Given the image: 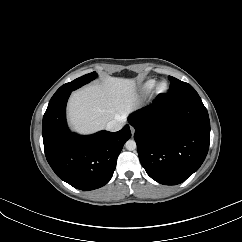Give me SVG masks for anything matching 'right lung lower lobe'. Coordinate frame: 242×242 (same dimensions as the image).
<instances>
[{"instance_id": "98d812e1", "label": "right lung lower lobe", "mask_w": 242, "mask_h": 242, "mask_svg": "<svg viewBox=\"0 0 242 242\" xmlns=\"http://www.w3.org/2000/svg\"><path fill=\"white\" fill-rule=\"evenodd\" d=\"M71 91L51 98L43 117L42 135L47 161L63 181L80 190L107 184L124 143L131 137L129 125L118 132L100 131L81 136L66 124V103Z\"/></svg>"}]
</instances>
